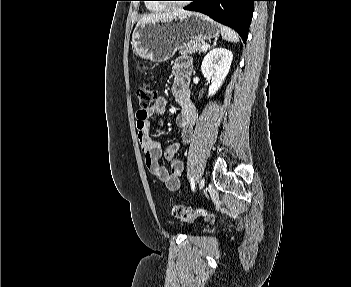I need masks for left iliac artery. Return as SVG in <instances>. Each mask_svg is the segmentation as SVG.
I'll use <instances>...</instances> for the list:
<instances>
[{
    "instance_id": "left-iliac-artery-1",
    "label": "left iliac artery",
    "mask_w": 351,
    "mask_h": 287,
    "mask_svg": "<svg viewBox=\"0 0 351 287\" xmlns=\"http://www.w3.org/2000/svg\"><path fill=\"white\" fill-rule=\"evenodd\" d=\"M190 181H191V189H192V191H194V190H195V180H194V177H191Z\"/></svg>"
}]
</instances>
